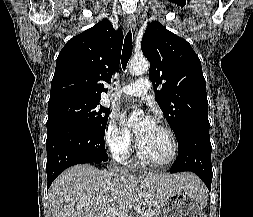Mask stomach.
<instances>
[{"mask_svg": "<svg viewBox=\"0 0 253 217\" xmlns=\"http://www.w3.org/2000/svg\"><path fill=\"white\" fill-rule=\"evenodd\" d=\"M203 198L184 189H176L159 204L158 217H203Z\"/></svg>", "mask_w": 253, "mask_h": 217, "instance_id": "stomach-1", "label": "stomach"}]
</instances>
